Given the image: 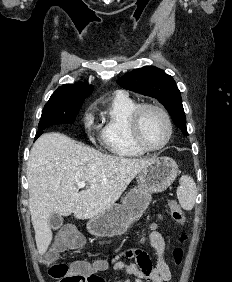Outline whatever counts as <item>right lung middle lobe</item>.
Listing matches in <instances>:
<instances>
[{
	"mask_svg": "<svg viewBox=\"0 0 232 282\" xmlns=\"http://www.w3.org/2000/svg\"><path fill=\"white\" fill-rule=\"evenodd\" d=\"M84 100L85 98L49 100L43 108L35 139L51 125L73 123Z\"/></svg>",
	"mask_w": 232,
	"mask_h": 282,
	"instance_id": "1",
	"label": "right lung middle lobe"
}]
</instances>
